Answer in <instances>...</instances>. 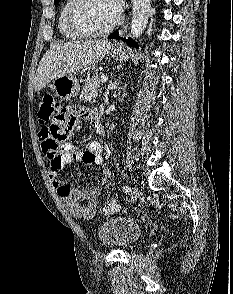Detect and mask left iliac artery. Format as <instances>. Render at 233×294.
<instances>
[{"label": "left iliac artery", "instance_id": "44dca946", "mask_svg": "<svg viewBox=\"0 0 233 294\" xmlns=\"http://www.w3.org/2000/svg\"><path fill=\"white\" fill-rule=\"evenodd\" d=\"M123 190H124L125 192H130V191H131V188L128 187V186H124V187H123Z\"/></svg>", "mask_w": 233, "mask_h": 294}]
</instances>
